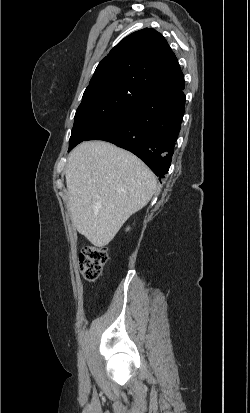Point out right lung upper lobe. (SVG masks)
Wrapping results in <instances>:
<instances>
[{
    "mask_svg": "<svg viewBox=\"0 0 250 413\" xmlns=\"http://www.w3.org/2000/svg\"><path fill=\"white\" fill-rule=\"evenodd\" d=\"M183 83V73L166 39L145 28L125 37L100 61L87 88L120 85L143 94Z\"/></svg>",
    "mask_w": 250,
    "mask_h": 413,
    "instance_id": "right-lung-upper-lobe-1",
    "label": "right lung upper lobe"
}]
</instances>
